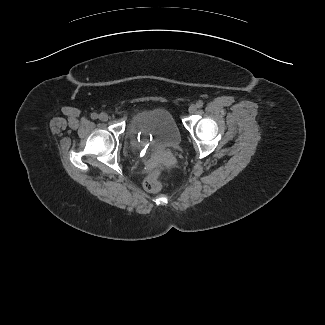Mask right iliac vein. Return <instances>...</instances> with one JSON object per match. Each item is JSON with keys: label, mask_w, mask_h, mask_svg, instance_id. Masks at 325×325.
Listing matches in <instances>:
<instances>
[{"label": "right iliac vein", "mask_w": 325, "mask_h": 325, "mask_svg": "<svg viewBox=\"0 0 325 325\" xmlns=\"http://www.w3.org/2000/svg\"><path fill=\"white\" fill-rule=\"evenodd\" d=\"M98 118L101 120V121H107L108 120V115L106 113H100Z\"/></svg>", "instance_id": "63e3f726"}]
</instances>
